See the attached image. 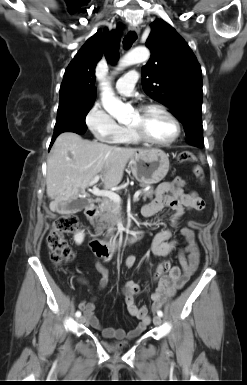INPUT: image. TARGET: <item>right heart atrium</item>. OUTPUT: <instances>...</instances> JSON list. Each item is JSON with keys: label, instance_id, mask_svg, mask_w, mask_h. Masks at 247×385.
Instances as JSON below:
<instances>
[{"label": "right heart atrium", "instance_id": "right-heart-atrium-1", "mask_svg": "<svg viewBox=\"0 0 247 385\" xmlns=\"http://www.w3.org/2000/svg\"><path fill=\"white\" fill-rule=\"evenodd\" d=\"M85 123L97 140L105 143H118L122 127L99 102H95L89 109Z\"/></svg>", "mask_w": 247, "mask_h": 385}]
</instances>
